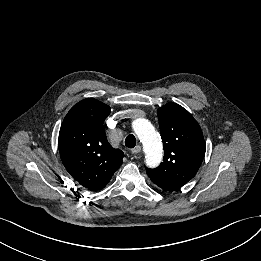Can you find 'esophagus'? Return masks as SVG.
I'll return each instance as SVG.
<instances>
[{"instance_id":"esophagus-1","label":"esophagus","mask_w":261,"mask_h":261,"mask_svg":"<svg viewBox=\"0 0 261 261\" xmlns=\"http://www.w3.org/2000/svg\"><path fill=\"white\" fill-rule=\"evenodd\" d=\"M141 151V146H136V147H134L132 150H131V152L133 153V154H137V153H139Z\"/></svg>"}]
</instances>
